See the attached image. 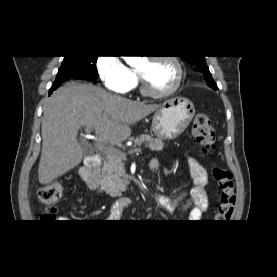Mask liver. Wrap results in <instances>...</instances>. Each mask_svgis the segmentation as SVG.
<instances>
[{"mask_svg":"<svg viewBox=\"0 0 277 277\" xmlns=\"http://www.w3.org/2000/svg\"><path fill=\"white\" fill-rule=\"evenodd\" d=\"M159 107L111 95L92 84L71 82L60 87L44 106L39 182L51 183L80 164L83 151L77 133L82 126L101 142L116 145L131 136L130 125Z\"/></svg>","mask_w":277,"mask_h":277,"instance_id":"liver-1","label":"liver"}]
</instances>
